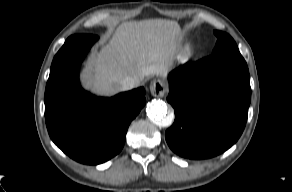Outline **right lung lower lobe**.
Instances as JSON below:
<instances>
[{"instance_id":"obj_1","label":"right lung lower lobe","mask_w":292,"mask_h":192,"mask_svg":"<svg viewBox=\"0 0 292 192\" xmlns=\"http://www.w3.org/2000/svg\"><path fill=\"white\" fill-rule=\"evenodd\" d=\"M97 39L70 36L53 59L45 90V120L52 141L72 159L90 165L121 151L130 122L145 105L143 87L111 98L81 88L79 67Z\"/></svg>"}]
</instances>
